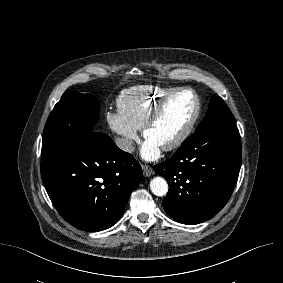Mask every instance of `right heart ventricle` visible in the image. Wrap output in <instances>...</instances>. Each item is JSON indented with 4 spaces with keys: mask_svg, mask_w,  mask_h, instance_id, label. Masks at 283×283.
I'll use <instances>...</instances> for the list:
<instances>
[{
    "mask_svg": "<svg viewBox=\"0 0 283 283\" xmlns=\"http://www.w3.org/2000/svg\"><path fill=\"white\" fill-rule=\"evenodd\" d=\"M174 88L152 85L136 86L125 91L118 99V111L135 128H142L156 103Z\"/></svg>",
    "mask_w": 283,
    "mask_h": 283,
    "instance_id": "right-heart-ventricle-1",
    "label": "right heart ventricle"
}]
</instances>
